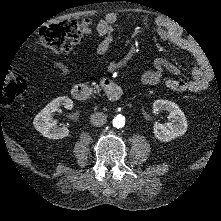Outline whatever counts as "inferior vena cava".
I'll return each instance as SVG.
<instances>
[{"mask_svg": "<svg viewBox=\"0 0 221 221\" xmlns=\"http://www.w3.org/2000/svg\"><path fill=\"white\" fill-rule=\"evenodd\" d=\"M107 122V116L103 112H95L90 115V123L93 126L101 127Z\"/></svg>", "mask_w": 221, "mask_h": 221, "instance_id": "602c4592", "label": "inferior vena cava"}]
</instances>
